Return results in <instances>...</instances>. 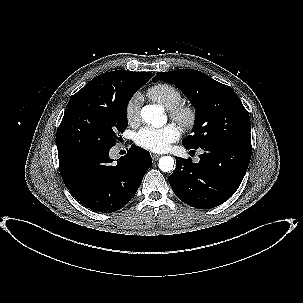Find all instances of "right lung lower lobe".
Returning <instances> with one entry per match:
<instances>
[{
	"mask_svg": "<svg viewBox=\"0 0 303 303\" xmlns=\"http://www.w3.org/2000/svg\"><path fill=\"white\" fill-rule=\"evenodd\" d=\"M110 149L58 153L67 189L81 204L98 212L126 205L152 164L150 153L135 145L116 162L109 157Z\"/></svg>",
	"mask_w": 303,
	"mask_h": 303,
	"instance_id": "1",
	"label": "right lung lower lobe"
}]
</instances>
